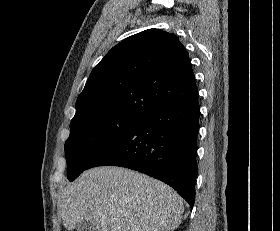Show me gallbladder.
I'll return each instance as SVG.
<instances>
[{"mask_svg":"<svg viewBox=\"0 0 280 231\" xmlns=\"http://www.w3.org/2000/svg\"><path fill=\"white\" fill-rule=\"evenodd\" d=\"M77 231H97V225L96 223H86V221H80V223H77L76 225Z\"/></svg>","mask_w":280,"mask_h":231,"instance_id":"1","label":"gallbladder"}]
</instances>
